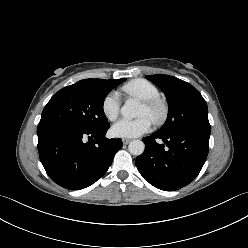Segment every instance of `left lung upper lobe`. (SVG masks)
Here are the masks:
<instances>
[{"mask_svg": "<svg viewBox=\"0 0 248 248\" xmlns=\"http://www.w3.org/2000/svg\"><path fill=\"white\" fill-rule=\"evenodd\" d=\"M165 94L169 112L165 124L157 131L169 135L198 124H209L208 108L200 92L191 84L169 75H147Z\"/></svg>", "mask_w": 248, "mask_h": 248, "instance_id": "obj_1", "label": "left lung upper lobe"}]
</instances>
